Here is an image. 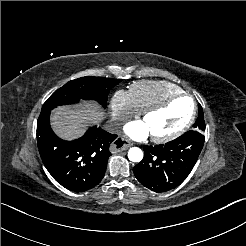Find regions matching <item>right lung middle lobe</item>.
Returning a JSON list of instances; mask_svg holds the SVG:
<instances>
[{
	"instance_id": "right-lung-middle-lobe-1",
	"label": "right lung middle lobe",
	"mask_w": 246,
	"mask_h": 246,
	"mask_svg": "<svg viewBox=\"0 0 246 246\" xmlns=\"http://www.w3.org/2000/svg\"><path fill=\"white\" fill-rule=\"evenodd\" d=\"M121 81L122 79L93 76H85L69 81L47 99L41 112L51 111L60 105L75 104L80 99L94 100L105 108L109 91Z\"/></svg>"
}]
</instances>
